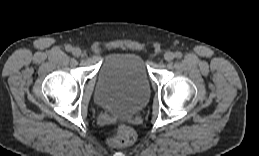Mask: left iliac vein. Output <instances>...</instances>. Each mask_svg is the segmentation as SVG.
Instances as JSON below:
<instances>
[{"label": "left iliac vein", "mask_w": 259, "mask_h": 156, "mask_svg": "<svg viewBox=\"0 0 259 156\" xmlns=\"http://www.w3.org/2000/svg\"><path fill=\"white\" fill-rule=\"evenodd\" d=\"M175 55L172 52H166L164 54V59L168 62L172 61L174 59Z\"/></svg>", "instance_id": "obj_1"}]
</instances>
